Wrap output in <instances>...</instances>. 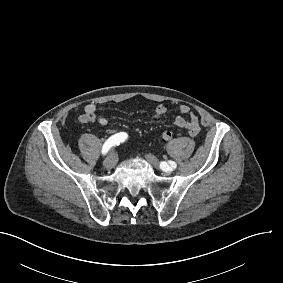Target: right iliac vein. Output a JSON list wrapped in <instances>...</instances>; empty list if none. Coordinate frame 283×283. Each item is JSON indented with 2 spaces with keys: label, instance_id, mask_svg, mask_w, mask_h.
I'll return each mask as SVG.
<instances>
[{
  "label": "right iliac vein",
  "instance_id": "obj_1",
  "mask_svg": "<svg viewBox=\"0 0 283 283\" xmlns=\"http://www.w3.org/2000/svg\"><path fill=\"white\" fill-rule=\"evenodd\" d=\"M116 153H110L109 156L104 160L103 165L106 169H112L117 163Z\"/></svg>",
  "mask_w": 283,
  "mask_h": 283
}]
</instances>
